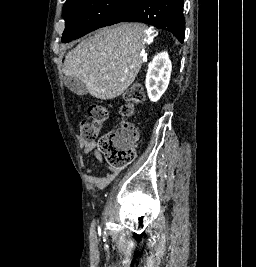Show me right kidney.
<instances>
[{
  "label": "right kidney",
  "mask_w": 256,
  "mask_h": 267,
  "mask_svg": "<svg viewBox=\"0 0 256 267\" xmlns=\"http://www.w3.org/2000/svg\"><path fill=\"white\" fill-rule=\"evenodd\" d=\"M172 64L167 52L154 56L146 74L145 86L151 102H158L170 82Z\"/></svg>",
  "instance_id": "ca27d5eb"
}]
</instances>
